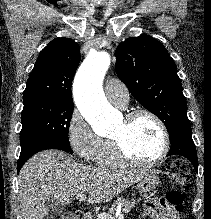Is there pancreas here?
<instances>
[{"label": "pancreas", "instance_id": "1", "mask_svg": "<svg viewBox=\"0 0 211 219\" xmlns=\"http://www.w3.org/2000/svg\"><path fill=\"white\" fill-rule=\"evenodd\" d=\"M119 205L122 207L123 213H128L133 207H135L136 202L133 199L128 200L125 198H119L109 209L108 213L99 214L96 219H114L112 214L116 211Z\"/></svg>", "mask_w": 211, "mask_h": 219}]
</instances>
